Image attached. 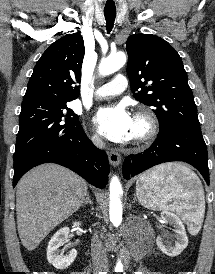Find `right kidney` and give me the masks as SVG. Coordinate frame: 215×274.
I'll return each mask as SVG.
<instances>
[{
  "mask_svg": "<svg viewBox=\"0 0 215 274\" xmlns=\"http://www.w3.org/2000/svg\"><path fill=\"white\" fill-rule=\"evenodd\" d=\"M80 222H74L73 227H79ZM69 228L59 229L51 238L47 247V260L56 269L63 270L70 266L77 256L76 249L70 250L67 255H63L60 247L63 246L68 238Z\"/></svg>",
  "mask_w": 215,
  "mask_h": 274,
  "instance_id": "1",
  "label": "right kidney"
}]
</instances>
